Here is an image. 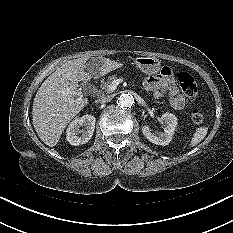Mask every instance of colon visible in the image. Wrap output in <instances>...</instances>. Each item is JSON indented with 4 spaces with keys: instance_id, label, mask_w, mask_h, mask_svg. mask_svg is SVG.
I'll use <instances>...</instances> for the list:
<instances>
[{
    "instance_id": "colon-1",
    "label": "colon",
    "mask_w": 233,
    "mask_h": 233,
    "mask_svg": "<svg viewBox=\"0 0 233 233\" xmlns=\"http://www.w3.org/2000/svg\"><path fill=\"white\" fill-rule=\"evenodd\" d=\"M177 80L185 98L189 102H194L198 96L197 83L195 78L191 74L181 71L177 73ZM191 119L196 124L202 123L204 120V115L201 109L194 108L191 112Z\"/></svg>"
}]
</instances>
